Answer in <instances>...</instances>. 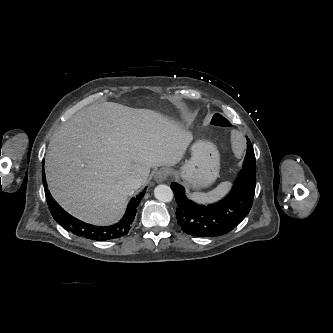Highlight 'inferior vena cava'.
Here are the masks:
<instances>
[{
  "label": "inferior vena cava",
  "mask_w": 333,
  "mask_h": 333,
  "mask_svg": "<svg viewBox=\"0 0 333 333\" xmlns=\"http://www.w3.org/2000/svg\"><path fill=\"white\" fill-rule=\"evenodd\" d=\"M124 182L128 189H137L143 184V178L139 174L132 172L125 176Z\"/></svg>",
  "instance_id": "602c4592"
}]
</instances>
